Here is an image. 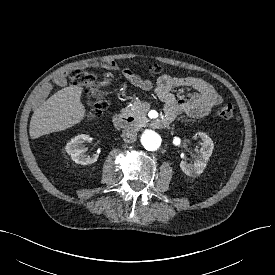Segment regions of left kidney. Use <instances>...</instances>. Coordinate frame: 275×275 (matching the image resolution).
I'll list each match as a JSON object with an SVG mask.
<instances>
[{
    "mask_svg": "<svg viewBox=\"0 0 275 275\" xmlns=\"http://www.w3.org/2000/svg\"><path fill=\"white\" fill-rule=\"evenodd\" d=\"M197 135L202 140L201 149L194 156L193 162L181 161L180 163L181 170L190 177H197L203 173L214 148L212 139L205 133L198 132Z\"/></svg>",
    "mask_w": 275,
    "mask_h": 275,
    "instance_id": "1",
    "label": "left kidney"
}]
</instances>
